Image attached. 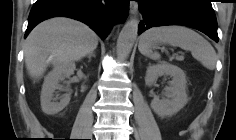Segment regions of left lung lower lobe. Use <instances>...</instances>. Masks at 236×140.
Instances as JSON below:
<instances>
[{
  "instance_id": "1",
  "label": "left lung lower lobe",
  "mask_w": 236,
  "mask_h": 140,
  "mask_svg": "<svg viewBox=\"0 0 236 140\" xmlns=\"http://www.w3.org/2000/svg\"><path fill=\"white\" fill-rule=\"evenodd\" d=\"M143 15L138 34L165 25L197 29L218 42L217 21L211 0H138Z\"/></svg>"
}]
</instances>
